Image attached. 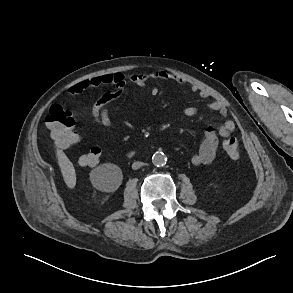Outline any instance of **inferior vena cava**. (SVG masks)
I'll list each match as a JSON object with an SVG mask.
<instances>
[{
	"label": "inferior vena cava",
	"instance_id": "1",
	"mask_svg": "<svg viewBox=\"0 0 293 293\" xmlns=\"http://www.w3.org/2000/svg\"><path fill=\"white\" fill-rule=\"evenodd\" d=\"M144 165L143 162L137 161L132 164V169L137 170Z\"/></svg>",
	"mask_w": 293,
	"mask_h": 293
}]
</instances>
